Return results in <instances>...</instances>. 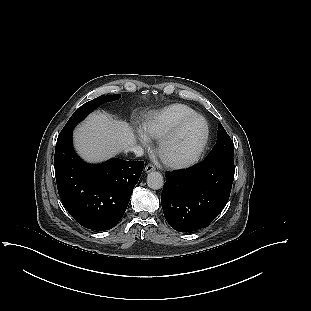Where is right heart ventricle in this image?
Listing matches in <instances>:
<instances>
[{"instance_id": "1", "label": "right heart ventricle", "mask_w": 311, "mask_h": 311, "mask_svg": "<svg viewBox=\"0 0 311 311\" xmlns=\"http://www.w3.org/2000/svg\"><path fill=\"white\" fill-rule=\"evenodd\" d=\"M195 110L184 104H172L150 114L142 125L145 137L159 140L181 120L195 114Z\"/></svg>"}]
</instances>
